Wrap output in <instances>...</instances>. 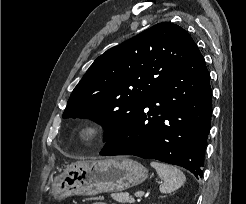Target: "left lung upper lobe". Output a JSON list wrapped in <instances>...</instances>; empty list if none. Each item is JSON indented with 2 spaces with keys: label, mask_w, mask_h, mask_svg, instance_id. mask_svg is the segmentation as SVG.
I'll list each match as a JSON object with an SVG mask.
<instances>
[{
  "label": "left lung upper lobe",
  "mask_w": 246,
  "mask_h": 204,
  "mask_svg": "<svg viewBox=\"0 0 246 204\" xmlns=\"http://www.w3.org/2000/svg\"><path fill=\"white\" fill-rule=\"evenodd\" d=\"M196 48L180 26L168 22L154 25L94 61L73 90L63 118L97 121L108 130V141Z\"/></svg>",
  "instance_id": "left-lung-upper-lobe-1"
}]
</instances>
